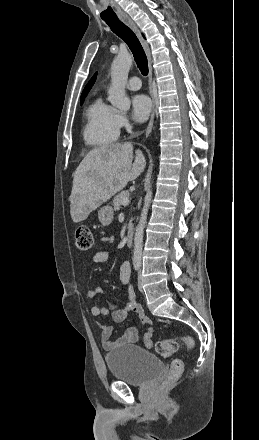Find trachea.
<instances>
[{
    "label": "trachea",
    "instance_id": "trachea-1",
    "mask_svg": "<svg viewBox=\"0 0 259 440\" xmlns=\"http://www.w3.org/2000/svg\"><path fill=\"white\" fill-rule=\"evenodd\" d=\"M104 21L118 37L126 42L135 58L138 68L140 69L141 73L146 76L148 74L147 57L134 32L118 17L105 19Z\"/></svg>",
    "mask_w": 259,
    "mask_h": 440
}]
</instances>
